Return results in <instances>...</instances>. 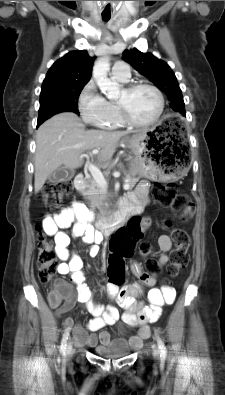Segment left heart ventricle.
I'll list each match as a JSON object with an SVG mask.
<instances>
[{"label": "left heart ventricle", "mask_w": 225, "mask_h": 395, "mask_svg": "<svg viewBox=\"0 0 225 395\" xmlns=\"http://www.w3.org/2000/svg\"><path fill=\"white\" fill-rule=\"evenodd\" d=\"M117 101L125 105L129 116L137 122L152 120L158 111V99L148 88H139L133 93L122 91Z\"/></svg>", "instance_id": "b2bd125f"}]
</instances>
